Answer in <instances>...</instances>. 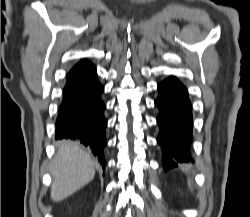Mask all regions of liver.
I'll return each mask as SVG.
<instances>
[{"mask_svg":"<svg viewBox=\"0 0 250 217\" xmlns=\"http://www.w3.org/2000/svg\"><path fill=\"white\" fill-rule=\"evenodd\" d=\"M50 172L53 176L51 199L61 201L94 178L95 163L78 144L64 140L57 144Z\"/></svg>","mask_w":250,"mask_h":217,"instance_id":"liver-1","label":"liver"}]
</instances>
